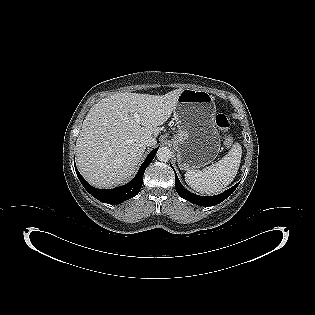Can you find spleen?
Masks as SVG:
<instances>
[{
  "label": "spleen",
  "instance_id": "obj_1",
  "mask_svg": "<svg viewBox=\"0 0 315 315\" xmlns=\"http://www.w3.org/2000/svg\"><path fill=\"white\" fill-rule=\"evenodd\" d=\"M241 157V146L236 143L228 154L217 163L202 170H188L185 173V181L197 192L219 193L234 180L240 166Z\"/></svg>",
  "mask_w": 315,
  "mask_h": 315
}]
</instances>
